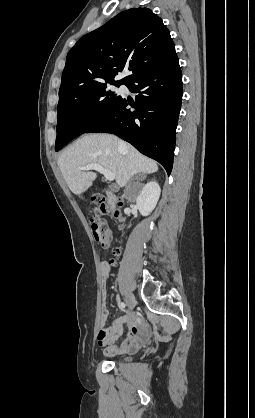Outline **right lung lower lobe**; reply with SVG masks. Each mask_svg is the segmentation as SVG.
Here are the masks:
<instances>
[{
    "mask_svg": "<svg viewBox=\"0 0 255 418\" xmlns=\"http://www.w3.org/2000/svg\"><path fill=\"white\" fill-rule=\"evenodd\" d=\"M125 85L138 93L135 102L121 96L110 114L85 133L115 134L158 161L170 175L183 93L179 59L151 67Z\"/></svg>",
    "mask_w": 255,
    "mask_h": 418,
    "instance_id": "1",
    "label": "right lung lower lobe"
}]
</instances>
